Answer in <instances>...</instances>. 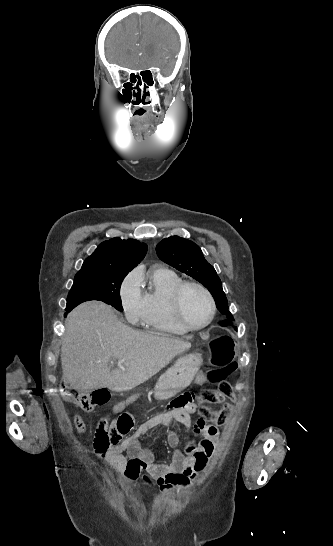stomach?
Listing matches in <instances>:
<instances>
[{
	"label": "stomach",
	"instance_id": "obj_1",
	"mask_svg": "<svg viewBox=\"0 0 333 546\" xmlns=\"http://www.w3.org/2000/svg\"><path fill=\"white\" fill-rule=\"evenodd\" d=\"M203 363L200 354L191 353L181 356L175 364L162 374L154 386V395L158 400L171 398L193 381V372Z\"/></svg>",
	"mask_w": 333,
	"mask_h": 546
}]
</instances>
